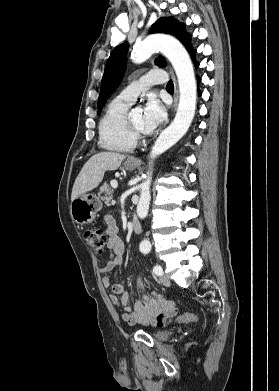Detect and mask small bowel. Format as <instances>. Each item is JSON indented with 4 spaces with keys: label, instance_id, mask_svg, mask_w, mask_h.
I'll use <instances>...</instances> for the list:
<instances>
[{
    "label": "small bowel",
    "instance_id": "1",
    "mask_svg": "<svg viewBox=\"0 0 279 391\" xmlns=\"http://www.w3.org/2000/svg\"><path fill=\"white\" fill-rule=\"evenodd\" d=\"M107 223L106 234L108 236L107 245L111 250L110 261L100 269L101 273L112 270H121L123 266L124 244L118 234V228L111 215L105 216ZM103 285L111 291L110 299L112 303L122 309L123 320L131 326H165L177 315V309L173 301L161 297L152 292L143 291L144 280L139 278L138 294L140 299L131 302L130 295L123 281L112 283L108 277H104ZM121 295V298L118 297Z\"/></svg>",
    "mask_w": 279,
    "mask_h": 391
}]
</instances>
